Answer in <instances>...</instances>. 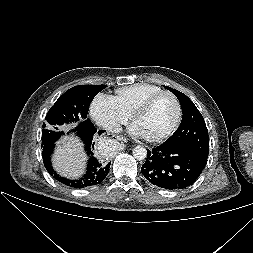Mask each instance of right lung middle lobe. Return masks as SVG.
Here are the masks:
<instances>
[{
    "instance_id": "1",
    "label": "right lung middle lobe",
    "mask_w": 253,
    "mask_h": 253,
    "mask_svg": "<svg viewBox=\"0 0 253 253\" xmlns=\"http://www.w3.org/2000/svg\"><path fill=\"white\" fill-rule=\"evenodd\" d=\"M106 85H79L67 90L50 108L43 123L42 144L55 142L64 135L61 125L77 123L75 131L91 123L87 119L90 103Z\"/></svg>"
}]
</instances>
